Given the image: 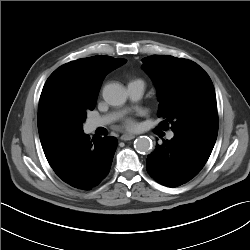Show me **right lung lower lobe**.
<instances>
[{"label": "right lung lower lobe", "instance_id": "obj_1", "mask_svg": "<svg viewBox=\"0 0 250 250\" xmlns=\"http://www.w3.org/2000/svg\"><path fill=\"white\" fill-rule=\"evenodd\" d=\"M117 143L115 137L91 139L82 131L43 147V151L62 181L77 189L90 190L109 173Z\"/></svg>", "mask_w": 250, "mask_h": 250}]
</instances>
